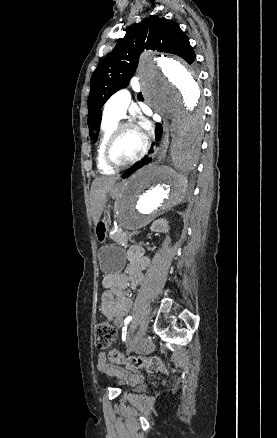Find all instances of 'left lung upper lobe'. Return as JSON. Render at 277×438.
<instances>
[{
	"mask_svg": "<svg viewBox=\"0 0 277 438\" xmlns=\"http://www.w3.org/2000/svg\"><path fill=\"white\" fill-rule=\"evenodd\" d=\"M144 49L171 53L180 56L189 64L196 58L189 38L179 24L157 16H150L130 27L120 38L114 51L106 55L91 77L88 97V126L90 136L98 131L101 108L117 90L128 85ZM97 139V135L94 140Z\"/></svg>",
	"mask_w": 277,
	"mask_h": 438,
	"instance_id": "1",
	"label": "left lung upper lobe"
}]
</instances>
